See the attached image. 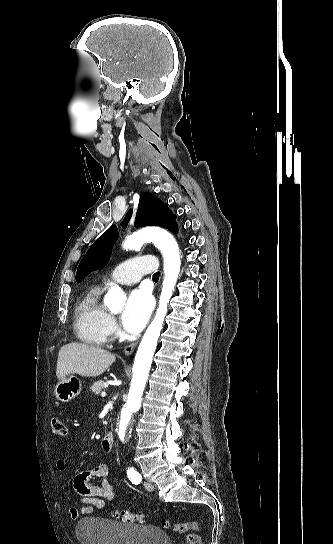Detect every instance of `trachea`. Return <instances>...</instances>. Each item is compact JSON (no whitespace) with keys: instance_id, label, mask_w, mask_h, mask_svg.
<instances>
[{"instance_id":"3493384b","label":"trachea","mask_w":333,"mask_h":544,"mask_svg":"<svg viewBox=\"0 0 333 544\" xmlns=\"http://www.w3.org/2000/svg\"><path fill=\"white\" fill-rule=\"evenodd\" d=\"M153 279H154V280H158V279H159V272H156V273L153 275Z\"/></svg>"}]
</instances>
